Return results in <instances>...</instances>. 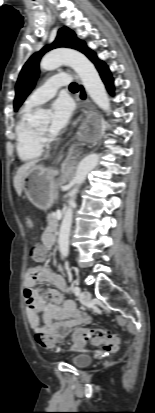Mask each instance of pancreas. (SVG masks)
Masks as SVG:
<instances>
[{
    "instance_id": "cf45deb5",
    "label": "pancreas",
    "mask_w": 155,
    "mask_h": 413,
    "mask_svg": "<svg viewBox=\"0 0 155 413\" xmlns=\"http://www.w3.org/2000/svg\"><path fill=\"white\" fill-rule=\"evenodd\" d=\"M48 221H49V227L53 231H56V228L58 226V219L54 213H51L48 215Z\"/></svg>"
}]
</instances>
